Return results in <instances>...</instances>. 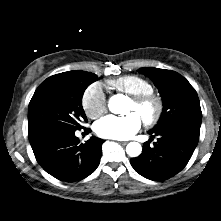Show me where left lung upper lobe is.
I'll use <instances>...</instances> for the list:
<instances>
[{
  "instance_id": "left-lung-upper-lobe-1",
  "label": "left lung upper lobe",
  "mask_w": 221,
  "mask_h": 221,
  "mask_svg": "<svg viewBox=\"0 0 221 221\" xmlns=\"http://www.w3.org/2000/svg\"><path fill=\"white\" fill-rule=\"evenodd\" d=\"M139 72L153 80L163 99V112L158 130L175 121H187L201 125L202 112L195 89L179 73L153 67L140 68Z\"/></svg>"
}]
</instances>
